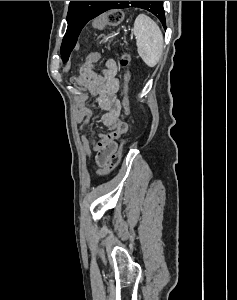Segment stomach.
Returning a JSON list of instances; mask_svg holds the SVG:
<instances>
[{
    "mask_svg": "<svg viewBox=\"0 0 237 300\" xmlns=\"http://www.w3.org/2000/svg\"><path fill=\"white\" fill-rule=\"evenodd\" d=\"M116 37L115 33H112V35H109V37H103L101 43H107V41H112Z\"/></svg>",
    "mask_w": 237,
    "mask_h": 300,
    "instance_id": "obj_1",
    "label": "stomach"
}]
</instances>
